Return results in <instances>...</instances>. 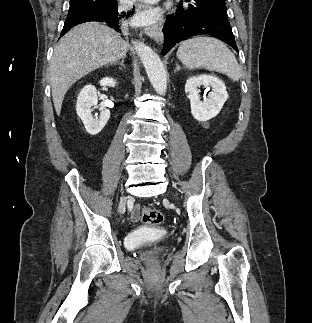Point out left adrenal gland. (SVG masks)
Returning a JSON list of instances; mask_svg holds the SVG:
<instances>
[{
  "label": "left adrenal gland",
  "mask_w": 312,
  "mask_h": 323,
  "mask_svg": "<svg viewBox=\"0 0 312 323\" xmlns=\"http://www.w3.org/2000/svg\"><path fill=\"white\" fill-rule=\"evenodd\" d=\"M176 66H177V68H176V70H174V72H178V70H181L179 64H176Z\"/></svg>",
  "instance_id": "obj_1"
}]
</instances>
